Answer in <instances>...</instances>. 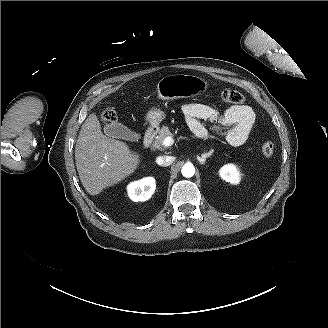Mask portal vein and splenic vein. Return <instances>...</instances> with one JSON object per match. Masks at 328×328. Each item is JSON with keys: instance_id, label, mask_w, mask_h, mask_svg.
I'll list each match as a JSON object with an SVG mask.
<instances>
[{"instance_id": "portal-vein-and-splenic-vein-1", "label": "portal vein and splenic vein", "mask_w": 328, "mask_h": 328, "mask_svg": "<svg viewBox=\"0 0 328 328\" xmlns=\"http://www.w3.org/2000/svg\"><path fill=\"white\" fill-rule=\"evenodd\" d=\"M174 142H175V140L172 137H166V138L163 139L161 145L163 147H169V146L173 145Z\"/></svg>"}]
</instances>
